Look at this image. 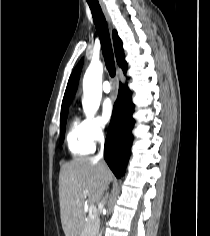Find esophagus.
I'll return each mask as SVG.
<instances>
[{
  "label": "esophagus",
  "instance_id": "obj_1",
  "mask_svg": "<svg viewBox=\"0 0 210 236\" xmlns=\"http://www.w3.org/2000/svg\"><path fill=\"white\" fill-rule=\"evenodd\" d=\"M101 6H102L103 13H104L109 25H110V18H109L108 12H107L105 6L102 3H101Z\"/></svg>",
  "mask_w": 210,
  "mask_h": 236
}]
</instances>
